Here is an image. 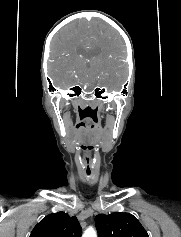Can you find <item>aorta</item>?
Returning a JSON list of instances; mask_svg holds the SVG:
<instances>
[{
    "label": "aorta",
    "mask_w": 181,
    "mask_h": 237,
    "mask_svg": "<svg viewBox=\"0 0 181 237\" xmlns=\"http://www.w3.org/2000/svg\"><path fill=\"white\" fill-rule=\"evenodd\" d=\"M82 237H97L96 231L93 228H88Z\"/></svg>",
    "instance_id": "obj_1"
}]
</instances>
